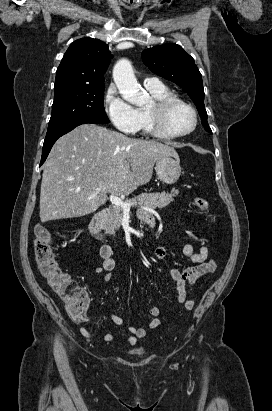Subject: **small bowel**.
<instances>
[{
	"label": "small bowel",
	"mask_w": 272,
	"mask_h": 411,
	"mask_svg": "<svg viewBox=\"0 0 272 411\" xmlns=\"http://www.w3.org/2000/svg\"><path fill=\"white\" fill-rule=\"evenodd\" d=\"M139 218L146 222L150 228H155V220L151 222V214L147 210H140L138 212ZM153 218V217H152ZM154 219V218H153ZM182 252L184 256L190 259L194 264L193 266L177 269L169 268V275L177 285L178 297L177 302L183 305L186 310H192L194 308L195 302L187 297V288L193 286L197 281L204 278L207 274L212 273L216 268V263L212 259H208V249L205 246H201L198 251H195L191 244H185L183 246ZM155 257L158 260H163L167 255V249L164 246H159L155 249ZM113 251L109 244H103L100 248V256L102 263L100 266L95 268V272L100 275L104 282H110L112 279V272L116 270V261L112 257ZM190 304L188 307L187 305ZM149 315L152 319L148 322L147 327L149 329H157L161 326L162 320L159 318L160 309L157 306H152L148 310ZM111 321L117 325L121 326L124 324V319L117 315H110ZM130 335L126 338V344L128 346H135L138 339L143 338L147 334L145 328H138L130 326L128 328ZM80 334L86 339H93L91 332L85 327H81L79 330ZM114 339L111 333H106L103 336V341L112 342Z\"/></svg>",
	"instance_id": "small-bowel-1"
}]
</instances>
